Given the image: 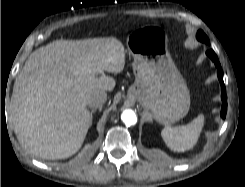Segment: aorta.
Segmentation results:
<instances>
[{"label":"aorta","instance_id":"1","mask_svg":"<svg viewBox=\"0 0 245 187\" xmlns=\"http://www.w3.org/2000/svg\"><path fill=\"white\" fill-rule=\"evenodd\" d=\"M121 119L126 126H132L137 123V115L131 109L124 110Z\"/></svg>","mask_w":245,"mask_h":187}]
</instances>
